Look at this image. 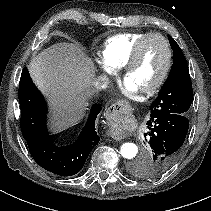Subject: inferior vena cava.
Masks as SVG:
<instances>
[{
	"instance_id": "602c4592",
	"label": "inferior vena cava",
	"mask_w": 211,
	"mask_h": 211,
	"mask_svg": "<svg viewBox=\"0 0 211 211\" xmlns=\"http://www.w3.org/2000/svg\"><path fill=\"white\" fill-rule=\"evenodd\" d=\"M107 81L105 80H102V81H96L94 82V87L97 88V89H101L103 87H106L107 86Z\"/></svg>"
}]
</instances>
